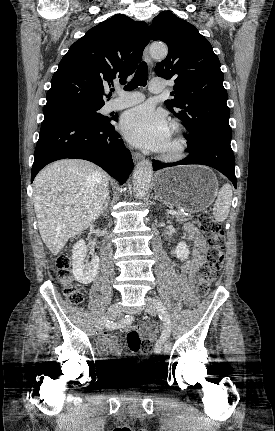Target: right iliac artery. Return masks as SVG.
<instances>
[{
	"mask_svg": "<svg viewBox=\"0 0 275 431\" xmlns=\"http://www.w3.org/2000/svg\"><path fill=\"white\" fill-rule=\"evenodd\" d=\"M133 322V317L132 316H125L122 320L118 321V322H113V321H107L106 322V327L108 329H121L124 328L126 326H129L131 323Z\"/></svg>",
	"mask_w": 275,
	"mask_h": 431,
	"instance_id": "obj_1",
	"label": "right iliac artery"
}]
</instances>
